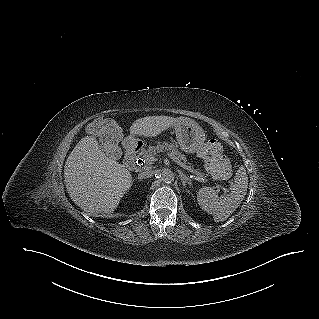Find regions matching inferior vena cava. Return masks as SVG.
Here are the masks:
<instances>
[{
	"label": "inferior vena cava",
	"instance_id": "obj_1",
	"mask_svg": "<svg viewBox=\"0 0 319 319\" xmlns=\"http://www.w3.org/2000/svg\"><path fill=\"white\" fill-rule=\"evenodd\" d=\"M153 174H154L153 171L147 170V171H144V172L139 173V174H138V179L150 178V177L153 176Z\"/></svg>",
	"mask_w": 319,
	"mask_h": 319
}]
</instances>
